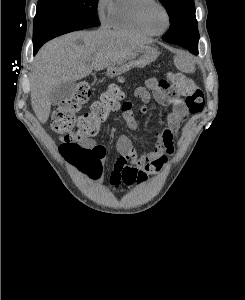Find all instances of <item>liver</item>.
<instances>
[{"label":"liver","mask_w":245,"mask_h":300,"mask_svg":"<svg viewBox=\"0 0 245 300\" xmlns=\"http://www.w3.org/2000/svg\"><path fill=\"white\" fill-rule=\"evenodd\" d=\"M147 40L129 33L77 31L46 43L35 58L31 78V104L41 123L51 111V92L60 84L81 80L144 47Z\"/></svg>","instance_id":"1"}]
</instances>
